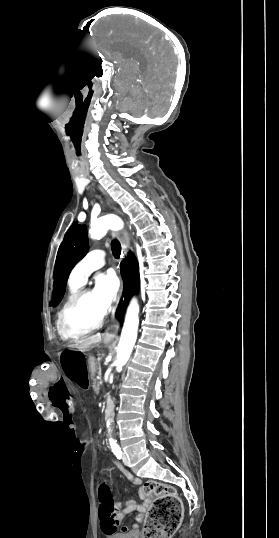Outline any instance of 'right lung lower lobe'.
<instances>
[{
  "label": "right lung lower lobe",
  "mask_w": 279,
  "mask_h": 538,
  "mask_svg": "<svg viewBox=\"0 0 279 538\" xmlns=\"http://www.w3.org/2000/svg\"><path fill=\"white\" fill-rule=\"evenodd\" d=\"M121 275L124 279V294L127 292V297L125 298V302L122 306H126L129 298L138 289L139 285L138 264L132 256H129L128 259L122 261Z\"/></svg>",
  "instance_id": "98d812e1"
}]
</instances>
